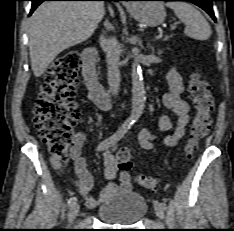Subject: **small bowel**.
Returning <instances> with one entry per match:
<instances>
[{"mask_svg":"<svg viewBox=\"0 0 234 231\" xmlns=\"http://www.w3.org/2000/svg\"><path fill=\"white\" fill-rule=\"evenodd\" d=\"M167 80L170 86V91L163 95V104L176 115L177 119L176 121H173L171 116L162 115L159 119L157 128L159 132H165L174 128L173 133L163 139V144L165 146L172 147L185 135L186 126L189 122V108L187 102L182 98L184 85L180 74L175 68L169 70L167 73ZM112 136L104 140L105 149L103 150L102 156L105 166L104 175L108 180V183L98 196L90 195L94 186V178L87 169L84 158L81 156L82 146L85 141L84 134L80 132L76 133L74 145L70 150V159L74 162L75 172L77 175L75 186L79 194L85 198L87 205L91 208H95L100 204L107 202L118 191L130 188L128 174H121L120 184L115 182V179L118 177V166L115 155L118 142H114L111 139ZM155 139V134L151 133L145 127H139V142L143 149H153ZM51 162L55 169L60 168L61 164L58 158L52 157Z\"/></svg>","mask_w":234,"mask_h":231,"instance_id":"obj_1","label":"small bowel"}]
</instances>
